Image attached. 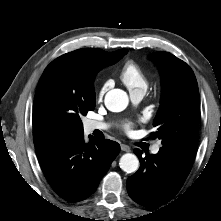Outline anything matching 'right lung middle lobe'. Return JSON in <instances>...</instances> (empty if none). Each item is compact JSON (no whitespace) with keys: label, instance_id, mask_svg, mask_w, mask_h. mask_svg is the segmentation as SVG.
<instances>
[{"label":"right lung middle lobe","instance_id":"obj_1","mask_svg":"<svg viewBox=\"0 0 221 221\" xmlns=\"http://www.w3.org/2000/svg\"><path fill=\"white\" fill-rule=\"evenodd\" d=\"M121 58L122 56L98 66L92 65L82 69L54 60L40 78L35 94L33 116L44 118L56 128H71L82 133L81 116L94 110L95 97L82 96L80 91L93 89L96 73L105 65L113 64Z\"/></svg>","mask_w":221,"mask_h":221}]
</instances>
